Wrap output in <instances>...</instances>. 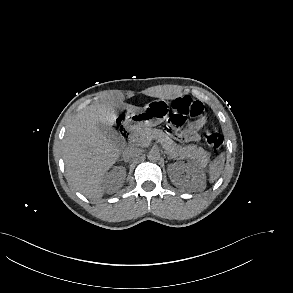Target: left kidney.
Here are the masks:
<instances>
[{
    "instance_id": "5707ae66",
    "label": "left kidney",
    "mask_w": 293,
    "mask_h": 293,
    "mask_svg": "<svg viewBox=\"0 0 293 293\" xmlns=\"http://www.w3.org/2000/svg\"><path fill=\"white\" fill-rule=\"evenodd\" d=\"M173 169L172 182L177 187H189L202 191L205 189L206 176L200 166L192 163L176 162L170 165ZM186 175H182V174Z\"/></svg>"
}]
</instances>
